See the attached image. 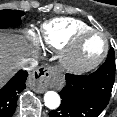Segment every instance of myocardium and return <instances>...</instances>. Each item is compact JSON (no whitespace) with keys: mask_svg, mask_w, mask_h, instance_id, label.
<instances>
[{"mask_svg":"<svg viewBox=\"0 0 117 117\" xmlns=\"http://www.w3.org/2000/svg\"><path fill=\"white\" fill-rule=\"evenodd\" d=\"M97 35L103 39L104 48L102 53L91 61H80L78 59V49L81 42L88 36ZM109 51V41L107 36L96 29L80 31L74 34L65 44L61 51V63L63 67L72 73H85L98 67L106 58Z\"/></svg>","mask_w":117,"mask_h":117,"instance_id":"f54148a6","label":"myocardium"}]
</instances>
